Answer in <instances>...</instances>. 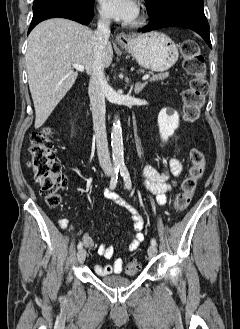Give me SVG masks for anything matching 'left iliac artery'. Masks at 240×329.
I'll use <instances>...</instances> for the list:
<instances>
[{"mask_svg": "<svg viewBox=\"0 0 240 329\" xmlns=\"http://www.w3.org/2000/svg\"><path fill=\"white\" fill-rule=\"evenodd\" d=\"M120 174L123 177L125 186L127 187V189L130 190L132 187V183H131L130 173L125 165L120 166ZM156 244H157L156 239L154 238L151 239V245L156 246Z\"/></svg>", "mask_w": 240, "mask_h": 329, "instance_id": "obj_1", "label": "left iliac artery"}]
</instances>
